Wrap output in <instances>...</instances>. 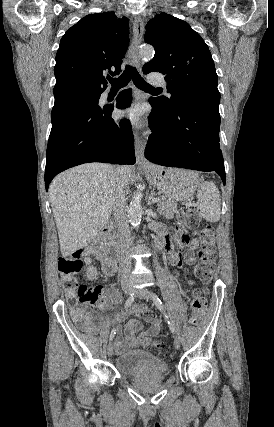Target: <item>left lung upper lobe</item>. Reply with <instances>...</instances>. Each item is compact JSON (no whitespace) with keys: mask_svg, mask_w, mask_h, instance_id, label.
Masks as SVG:
<instances>
[{"mask_svg":"<svg viewBox=\"0 0 274 427\" xmlns=\"http://www.w3.org/2000/svg\"><path fill=\"white\" fill-rule=\"evenodd\" d=\"M144 39L155 48V56L144 65L143 72L165 74L171 94L155 99L165 107L184 103L219 106L218 77L211 53L188 23L161 13L146 25Z\"/></svg>","mask_w":274,"mask_h":427,"instance_id":"obj_1","label":"left lung upper lobe"}]
</instances>
